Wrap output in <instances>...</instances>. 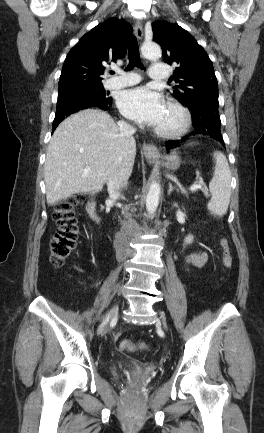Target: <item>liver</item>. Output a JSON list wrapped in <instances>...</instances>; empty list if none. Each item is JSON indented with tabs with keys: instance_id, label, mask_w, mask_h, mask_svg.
Returning <instances> with one entry per match:
<instances>
[{
	"instance_id": "6515ba94",
	"label": "liver",
	"mask_w": 264,
	"mask_h": 433,
	"mask_svg": "<svg viewBox=\"0 0 264 433\" xmlns=\"http://www.w3.org/2000/svg\"><path fill=\"white\" fill-rule=\"evenodd\" d=\"M136 156L134 138H124L112 117L98 109L69 116L55 130L44 164L49 206L78 193L99 192L111 172L129 178ZM90 169L84 175V170Z\"/></svg>"
}]
</instances>
